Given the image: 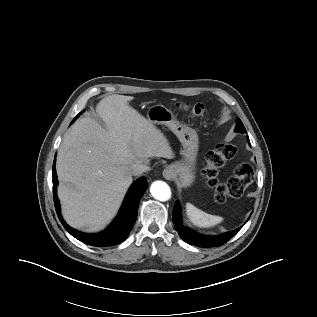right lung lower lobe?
I'll use <instances>...</instances> for the list:
<instances>
[{
    "instance_id": "right-lung-lower-lobe-1",
    "label": "right lung lower lobe",
    "mask_w": 317,
    "mask_h": 317,
    "mask_svg": "<svg viewBox=\"0 0 317 317\" xmlns=\"http://www.w3.org/2000/svg\"><path fill=\"white\" fill-rule=\"evenodd\" d=\"M75 120V119H74ZM73 120V121H74ZM72 121V122H73ZM57 174L55 169V159L53 164V197L57 215L63 224L64 228L76 239L94 246V247H108L121 243L129 235L131 229L137 218V211L140 199L147 189V181L145 177L136 180L128 190L123 205L119 211L118 216L111 223V225L101 233L85 234L76 229L71 228L63 220L60 213V204L57 197Z\"/></svg>"
}]
</instances>
